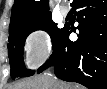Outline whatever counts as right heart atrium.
Wrapping results in <instances>:
<instances>
[{"instance_id":"obj_1","label":"right heart atrium","mask_w":107,"mask_h":89,"mask_svg":"<svg viewBox=\"0 0 107 89\" xmlns=\"http://www.w3.org/2000/svg\"><path fill=\"white\" fill-rule=\"evenodd\" d=\"M25 59L28 67L40 66L52 52V38L44 29L31 31L24 41Z\"/></svg>"}]
</instances>
